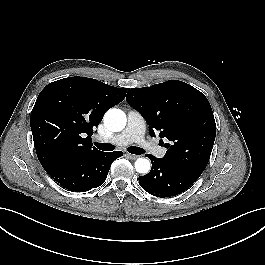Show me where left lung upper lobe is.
<instances>
[{
    "label": "left lung upper lobe",
    "mask_w": 265,
    "mask_h": 265,
    "mask_svg": "<svg viewBox=\"0 0 265 265\" xmlns=\"http://www.w3.org/2000/svg\"><path fill=\"white\" fill-rule=\"evenodd\" d=\"M126 100L146 120L149 132L167 138L165 163L200 176L209 161L216 124L203 93L178 80L129 89Z\"/></svg>",
    "instance_id": "1"
}]
</instances>
